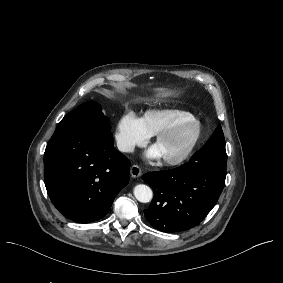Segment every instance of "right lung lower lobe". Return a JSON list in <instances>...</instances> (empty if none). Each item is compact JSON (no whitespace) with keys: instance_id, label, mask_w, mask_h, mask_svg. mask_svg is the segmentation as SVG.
<instances>
[{"instance_id":"1","label":"right lung lower lobe","mask_w":283,"mask_h":283,"mask_svg":"<svg viewBox=\"0 0 283 283\" xmlns=\"http://www.w3.org/2000/svg\"><path fill=\"white\" fill-rule=\"evenodd\" d=\"M129 160L113 146L112 133L55 130L44 153L48 195L67 218L90 223L103 218L128 184Z\"/></svg>"}]
</instances>
